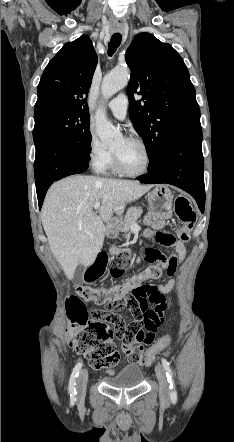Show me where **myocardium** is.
Segmentation results:
<instances>
[{
  "label": "myocardium",
  "mask_w": 234,
  "mask_h": 442,
  "mask_svg": "<svg viewBox=\"0 0 234 442\" xmlns=\"http://www.w3.org/2000/svg\"><path fill=\"white\" fill-rule=\"evenodd\" d=\"M124 139L126 141L135 142L142 147V149L145 153V165H144L143 169H141L140 171H137V172L127 171L126 169L123 168L117 153L115 151H113L112 155H113V165H114L115 171L123 176H126V177H140V176L147 174L150 169L151 160H152L151 151H150L149 146L147 145V143L143 139L136 137V136H128V137H125Z\"/></svg>",
  "instance_id": "myocardium-1"
}]
</instances>
